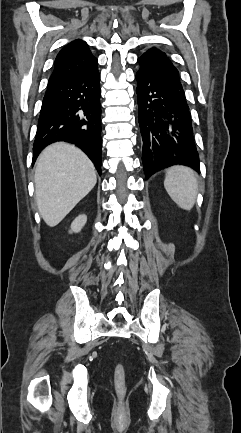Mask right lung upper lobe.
Here are the masks:
<instances>
[{
  "label": "right lung upper lobe",
  "instance_id": "right-lung-upper-lobe-1",
  "mask_svg": "<svg viewBox=\"0 0 241 433\" xmlns=\"http://www.w3.org/2000/svg\"><path fill=\"white\" fill-rule=\"evenodd\" d=\"M54 64V71L49 78L48 84L88 70L96 66L98 60L91 54L87 43L78 39L61 49Z\"/></svg>",
  "mask_w": 241,
  "mask_h": 433
}]
</instances>
